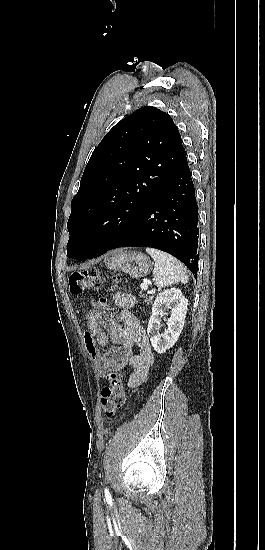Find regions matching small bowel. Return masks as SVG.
<instances>
[{
  "label": "small bowel",
  "mask_w": 265,
  "mask_h": 550,
  "mask_svg": "<svg viewBox=\"0 0 265 550\" xmlns=\"http://www.w3.org/2000/svg\"><path fill=\"white\" fill-rule=\"evenodd\" d=\"M114 299L122 309L121 323L106 315L101 305H95L86 315L85 345L97 376L106 377L108 372H119L128 363L133 372L127 380V386L134 388L147 377L154 363V353L145 329L129 312L135 303L134 298L119 292ZM109 338L112 346L101 354L98 348L106 347ZM135 345L139 352L133 354L132 349Z\"/></svg>",
  "instance_id": "obj_1"
}]
</instances>
